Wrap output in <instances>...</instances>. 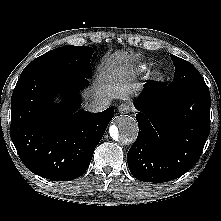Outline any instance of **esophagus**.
<instances>
[{
  "label": "esophagus",
  "mask_w": 221,
  "mask_h": 221,
  "mask_svg": "<svg viewBox=\"0 0 221 221\" xmlns=\"http://www.w3.org/2000/svg\"><path fill=\"white\" fill-rule=\"evenodd\" d=\"M133 110V107L128 103H122L118 106V111L122 114H127Z\"/></svg>",
  "instance_id": "34e87169"
}]
</instances>
